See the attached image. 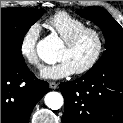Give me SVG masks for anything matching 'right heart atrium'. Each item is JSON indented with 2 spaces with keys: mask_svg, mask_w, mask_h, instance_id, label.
Wrapping results in <instances>:
<instances>
[{
  "mask_svg": "<svg viewBox=\"0 0 123 123\" xmlns=\"http://www.w3.org/2000/svg\"><path fill=\"white\" fill-rule=\"evenodd\" d=\"M40 36V27L37 23L29 25L22 34L19 51L25 61L39 68L41 66L40 59L36 52V45Z\"/></svg>",
  "mask_w": 123,
  "mask_h": 123,
  "instance_id": "right-heart-atrium-1",
  "label": "right heart atrium"
}]
</instances>
